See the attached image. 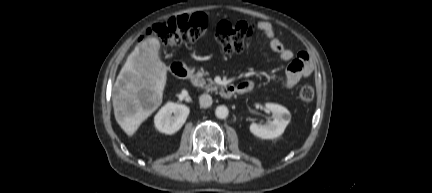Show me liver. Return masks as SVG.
<instances>
[{"mask_svg":"<svg viewBox=\"0 0 432 193\" xmlns=\"http://www.w3.org/2000/svg\"><path fill=\"white\" fill-rule=\"evenodd\" d=\"M159 50L157 38H147L139 43L114 84L115 119L129 136L162 103L168 68L161 61Z\"/></svg>","mask_w":432,"mask_h":193,"instance_id":"obj_1","label":"liver"}]
</instances>
